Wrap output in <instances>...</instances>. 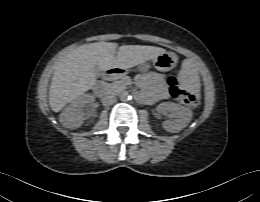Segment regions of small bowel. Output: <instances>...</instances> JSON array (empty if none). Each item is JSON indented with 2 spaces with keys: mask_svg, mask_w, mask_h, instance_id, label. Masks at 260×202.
Wrapping results in <instances>:
<instances>
[{
  "mask_svg": "<svg viewBox=\"0 0 260 202\" xmlns=\"http://www.w3.org/2000/svg\"><path fill=\"white\" fill-rule=\"evenodd\" d=\"M136 82L144 91L143 98L150 103L158 102L168 96L167 86L161 74L151 72L140 75Z\"/></svg>",
  "mask_w": 260,
  "mask_h": 202,
  "instance_id": "obj_1",
  "label": "small bowel"
}]
</instances>
